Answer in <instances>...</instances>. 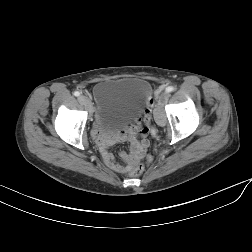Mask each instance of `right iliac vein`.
I'll return each mask as SVG.
<instances>
[{"instance_id": "obj_1", "label": "right iliac vein", "mask_w": 252, "mask_h": 252, "mask_svg": "<svg viewBox=\"0 0 252 252\" xmlns=\"http://www.w3.org/2000/svg\"><path fill=\"white\" fill-rule=\"evenodd\" d=\"M78 100H79V102H80L82 105H84L88 110H90V108H91L90 100L88 99L87 96L81 95V96H79Z\"/></svg>"}]
</instances>
